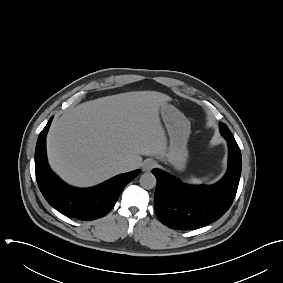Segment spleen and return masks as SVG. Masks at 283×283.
I'll return each mask as SVG.
<instances>
[{
  "instance_id": "1",
  "label": "spleen",
  "mask_w": 283,
  "mask_h": 283,
  "mask_svg": "<svg viewBox=\"0 0 283 283\" xmlns=\"http://www.w3.org/2000/svg\"><path fill=\"white\" fill-rule=\"evenodd\" d=\"M208 178L207 177H204V178H193L191 179L189 182L191 184H201L203 183L204 181H206Z\"/></svg>"
}]
</instances>
